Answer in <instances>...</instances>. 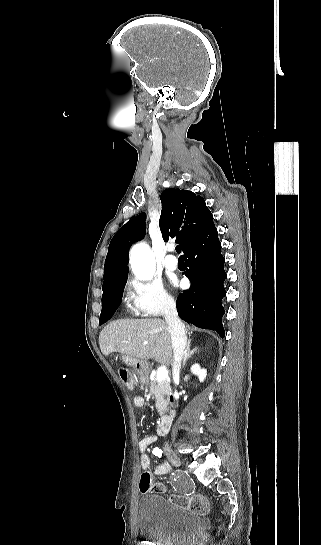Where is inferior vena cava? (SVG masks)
I'll list each match as a JSON object with an SVG mask.
<instances>
[{"instance_id":"602c4592","label":"inferior vena cava","mask_w":321,"mask_h":545,"mask_svg":"<svg viewBox=\"0 0 321 545\" xmlns=\"http://www.w3.org/2000/svg\"><path fill=\"white\" fill-rule=\"evenodd\" d=\"M163 313L164 319L170 329L173 349L172 375L173 377H176V375H179L180 373L181 361L185 355L187 341L184 331L185 327L180 319H178V313L173 299H166ZM164 446L167 448L169 445L166 443Z\"/></svg>"}]
</instances>
